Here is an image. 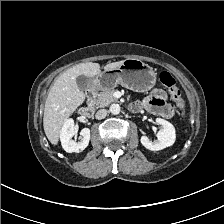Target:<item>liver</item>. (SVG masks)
<instances>
[{"mask_svg":"<svg viewBox=\"0 0 224 224\" xmlns=\"http://www.w3.org/2000/svg\"><path fill=\"white\" fill-rule=\"evenodd\" d=\"M123 61L107 64L105 70L120 66ZM101 72L98 63H81L61 74L50 88L44 107L43 127L51 144L59 141L62 126L85 100L76 78L80 75L93 78Z\"/></svg>","mask_w":224,"mask_h":224,"instance_id":"liver-1","label":"liver"}]
</instances>
